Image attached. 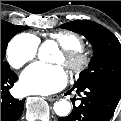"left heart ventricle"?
Returning <instances> with one entry per match:
<instances>
[{
	"mask_svg": "<svg viewBox=\"0 0 121 121\" xmlns=\"http://www.w3.org/2000/svg\"><path fill=\"white\" fill-rule=\"evenodd\" d=\"M54 63L64 65V63H63V57H62V54H61V53H58V54L55 56V58H54Z\"/></svg>",
	"mask_w": 121,
	"mask_h": 121,
	"instance_id": "obj_1",
	"label": "left heart ventricle"
}]
</instances>
